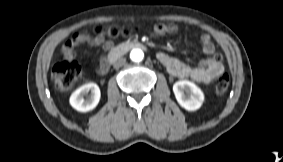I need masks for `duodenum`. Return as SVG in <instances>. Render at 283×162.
<instances>
[{
    "label": "duodenum",
    "mask_w": 283,
    "mask_h": 162,
    "mask_svg": "<svg viewBox=\"0 0 283 162\" xmlns=\"http://www.w3.org/2000/svg\"><path fill=\"white\" fill-rule=\"evenodd\" d=\"M137 48H144V44L137 42V41H127L123 42L119 45L116 46V49L114 51H109V55L106 56L109 59V65L111 62L115 61L116 59L120 58L123 56L125 53L132 49H137Z\"/></svg>",
    "instance_id": "duodenum-1"
}]
</instances>
